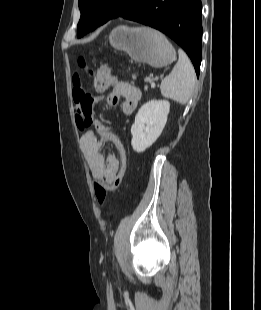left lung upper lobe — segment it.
<instances>
[{
    "instance_id": "obj_1",
    "label": "left lung upper lobe",
    "mask_w": 261,
    "mask_h": 310,
    "mask_svg": "<svg viewBox=\"0 0 261 310\" xmlns=\"http://www.w3.org/2000/svg\"><path fill=\"white\" fill-rule=\"evenodd\" d=\"M132 2L133 0H79L81 18L77 36L79 38L84 36L95 25L122 17L130 10ZM98 19L101 20L98 22Z\"/></svg>"
}]
</instances>
